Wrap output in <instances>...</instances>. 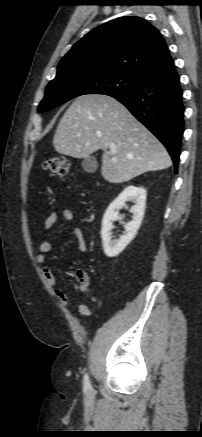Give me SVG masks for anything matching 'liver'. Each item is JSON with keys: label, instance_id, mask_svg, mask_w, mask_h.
I'll return each instance as SVG.
<instances>
[{"label": "liver", "instance_id": "obj_1", "mask_svg": "<svg viewBox=\"0 0 202 437\" xmlns=\"http://www.w3.org/2000/svg\"><path fill=\"white\" fill-rule=\"evenodd\" d=\"M55 150L74 158L104 151L101 174L110 183H123L148 171L171 166L161 142L116 99L82 95L67 109L53 137ZM115 148V153L108 149Z\"/></svg>", "mask_w": 202, "mask_h": 437}]
</instances>
